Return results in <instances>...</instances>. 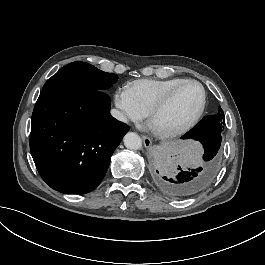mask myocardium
Returning a JSON list of instances; mask_svg holds the SVG:
<instances>
[{
  "instance_id": "obj_1",
  "label": "myocardium",
  "mask_w": 265,
  "mask_h": 265,
  "mask_svg": "<svg viewBox=\"0 0 265 265\" xmlns=\"http://www.w3.org/2000/svg\"><path fill=\"white\" fill-rule=\"evenodd\" d=\"M187 83H195L199 85L202 91V101L201 105L196 111V113L184 124L181 126L170 129V130H159L155 127V120L157 116L173 101V99L176 97L177 93L180 91V89ZM207 101H208V94L205 85L194 78H187L183 79L181 82L176 84L167 94L165 97H163L150 111L149 113V120H148V125L149 128L152 130V132L163 139H168V138H174L181 136L188 132L191 128L195 126V124L199 121V119L202 117L206 106H207Z\"/></svg>"
}]
</instances>
